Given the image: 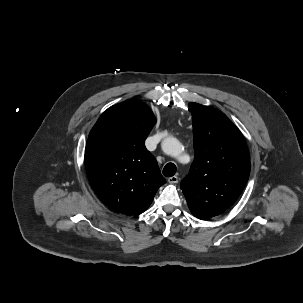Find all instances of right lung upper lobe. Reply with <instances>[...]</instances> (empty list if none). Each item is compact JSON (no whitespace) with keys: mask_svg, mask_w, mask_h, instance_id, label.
<instances>
[{"mask_svg":"<svg viewBox=\"0 0 303 303\" xmlns=\"http://www.w3.org/2000/svg\"><path fill=\"white\" fill-rule=\"evenodd\" d=\"M156 123L148 106L129 100L108 108L88 136L85 167L90 185L109 209L144 212L165 183L145 139Z\"/></svg>","mask_w":303,"mask_h":303,"instance_id":"obj_1","label":"right lung upper lobe"}]
</instances>
